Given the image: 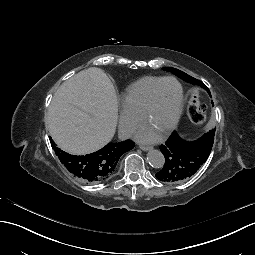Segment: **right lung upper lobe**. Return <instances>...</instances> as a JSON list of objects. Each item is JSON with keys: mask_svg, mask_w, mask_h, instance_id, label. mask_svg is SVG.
I'll use <instances>...</instances> for the list:
<instances>
[{"mask_svg": "<svg viewBox=\"0 0 255 255\" xmlns=\"http://www.w3.org/2000/svg\"><path fill=\"white\" fill-rule=\"evenodd\" d=\"M52 147L59 157L61 163L68 169L70 173L75 175L77 178L89 182L97 183L105 180L110 175L113 174L119 158L125 152H128L134 147V143L131 140L118 142V143H108L102 149L87 155H91L93 158H97L100 161V174L94 176L92 180H85L83 178L84 157L86 156H75L70 155L60 148L56 147L55 143L51 140Z\"/></svg>", "mask_w": 255, "mask_h": 255, "instance_id": "obj_1", "label": "right lung upper lobe"}]
</instances>
